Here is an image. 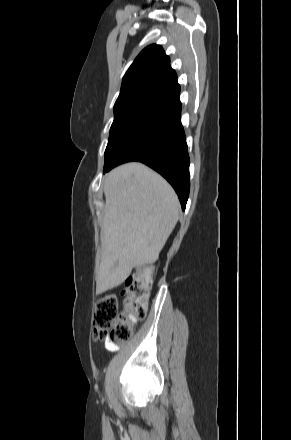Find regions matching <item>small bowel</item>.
<instances>
[{
    "instance_id": "small-bowel-1",
    "label": "small bowel",
    "mask_w": 291,
    "mask_h": 440,
    "mask_svg": "<svg viewBox=\"0 0 291 440\" xmlns=\"http://www.w3.org/2000/svg\"><path fill=\"white\" fill-rule=\"evenodd\" d=\"M130 321H136V319L135 318H130ZM105 348L108 351L114 352V351H117L119 347L115 343L106 340L105 341Z\"/></svg>"
}]
</instances>
